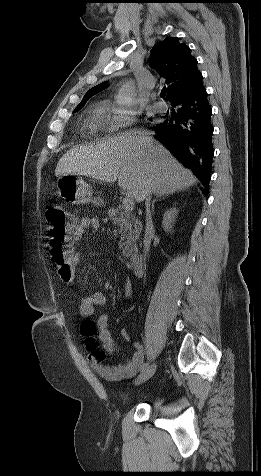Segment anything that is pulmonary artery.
I'll use <instances>...</instances> for the list:
<instances>
[{
  "instance_id": "e3ab8cb5",
  "label": "pulmonary artery",
  "mask_w": 261,
  "mask_h": 476,
  "mask_svg": "<svg viewBox=\"0 0 261 476\" xmlns=\"http://www.w3.org/2000/svg\"><path fill=\"white\" fill-rule=\"evenodd\" d=\"M154 107L160 112H163L166 110V105L161 101L154 102Z\"/></svg>"
}]
</instances>
